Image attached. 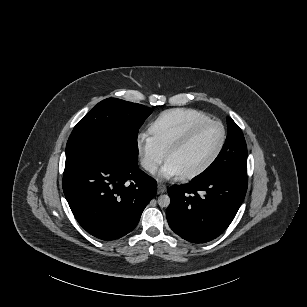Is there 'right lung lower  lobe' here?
I'll use <instances>...</instances> for the list:
<instances>
[{
  "label": "right lung lower lobe",
  "instance_id": "obj_1",
  "mask_svg": "<svg viewBox=\"0 0 307 307\" xmlns=\"http://www.w3.org/2000/svg\"><path fill=\"white\" fill-rule=\"evenodd\" d=\"M63 191L79 224L102 240L132 231L157 183L109 150L90 149L66 157Z\"/></svg>",
  "mask_w": 307,
  "mask_h": 307
}]
</instances>
